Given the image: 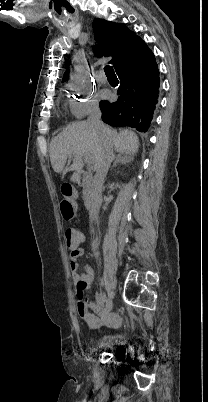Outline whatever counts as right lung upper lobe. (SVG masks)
<instances>
[{
  "mask_svg": "<svg viewBox=\"0 0 208 402\" xmlns=\"http://www.w3.org/2000/svg\"><path fill=\"white\" fill-rule=\"evenodd\" d=\"M95 38L98 45L94 51L97 56H112L110 63L114 68L117 66V59L128 48L136 34L130 31L125 24L113 23L103 19H95L93 22ZM68 75L65 74L63 80H66Z\"/></svg>",
  "mask_w": 208,
  "mask_h": 402,
  "instance_id": "obj_1",
  "label": "right lung upper lobe"
}]
</instances>
